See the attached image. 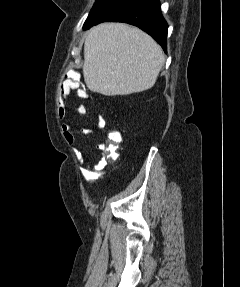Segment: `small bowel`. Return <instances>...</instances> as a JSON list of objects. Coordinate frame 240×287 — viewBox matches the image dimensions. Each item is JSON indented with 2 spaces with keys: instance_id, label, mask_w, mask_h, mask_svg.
I'll return each instance as SVG.
<instances>
[{
  "instance_id": "c3829d8e",
  "label": "small bowel",
  "mask_w": 240,
  "mask_h": 287,
  "mask_svg": "<svg viewBox=\"0 0 240 287\" xmlns=\"http://www.w3.org/2000/svg\"><path fill=\"white\" fill-rule=\"evenodd\" d=\"M72 92H75L76 96L81 99H86L88 97L87 92L81 88L79 81L76 78H68L66 79L60 89H59V94H58V99H57V107H58V115L60 119H63L66 115V103L67 100ZM76 112L78 114L84 115L87 112V108L85 105L80 104L76 106L75 108ZM106 126V119L103 116H99L97 119L96 123V128H82L81 132L83 134H91L94 133L96 130H101ZM62 131L64 134V138L68 143H74L75 142V137L73 134L70 132V126L67 123L63 124ZM105 145L104 144H99L97 146V150L100 151L101 153L104 152ZM105 157L103 155L102 157V163H104Z\"/></svg>"
}]
</instances>
